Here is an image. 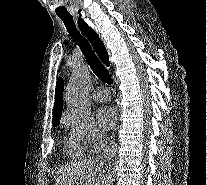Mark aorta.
I'll return each instance as SVG.
<instances>
[{
  "label": "aorta",
  "instance_id": "aorta-1",
  "mask_svg": "<svg viewBox=\"0 0 207 185\" xmlns=\"http://www.w3.org/2000/svg\"><path fill=\"white\" fill-rule=\"evenodd\" d=\"M91 75L88 67L78 64L73 67L71 77L66 87L65 98L69 110L79 117L90 113L89 83Z\"/></svg>",
  "mask_w": 207,
  "mask_h": 185
}]
</instances>
